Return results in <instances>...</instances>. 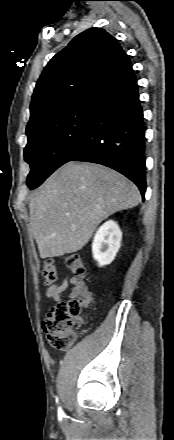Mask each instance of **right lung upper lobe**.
<instances>
[{"label":"right lung upper lobe","instance_id":"cb5924a9","mask_svg":"<svg viewBox=\"0 0 174 440\" xmlns=\"http://www.w3.org/2000/svg\"><path fill=\"white\" fill-rule=\"evenodd\" d=\"M132 68L118 41L104 29L77 35L46 65L37 81L27 127L47 114L93 94Z\"/></svg>","mask_w":174,"mask_h":440}]
</instances>
